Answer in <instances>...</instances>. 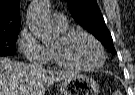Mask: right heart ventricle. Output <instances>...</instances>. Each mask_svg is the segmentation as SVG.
<instances>
[{
  "label": "right heart ventricle",
  "mask_w": 135,
  "mask_h": 95,
  "mask_svg": "<svg viewBox=\"0 0 135 95\" xmlns=\"http://www.w3.org/2000/svg\"><path fill=\"white\" fill-rule=\"evenodd\" d=\"M56 29H57L58 31H60L61 33H63V32H66V31L68 30V26L63 27V28L56 27Z\"/></svg>",
  "instance_id": "right-heart-ventricle-1"
}]
</instances>
